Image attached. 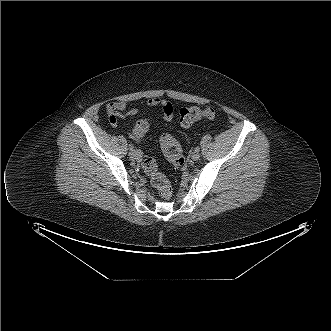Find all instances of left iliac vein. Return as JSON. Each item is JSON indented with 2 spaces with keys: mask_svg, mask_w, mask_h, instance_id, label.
I'll return each instance as SVG.
<instances>
[{
  "mask_svg": "<svg viewBox=\"0 0 331 331\" xmlns=\"http://www.w3.org/2000/svg\"><path fill=\"white\" fill-rule=\"evenodd\" d=\"M199 158H200V153H199V152H193V153H192V159H193L194 161H198Z\"/></svg>",
  "mask_w": 331,
  "mask_h": 331,
  "instance_id": "4c4485c4",
  "label": "left iliac vein"
}]
</instances>
